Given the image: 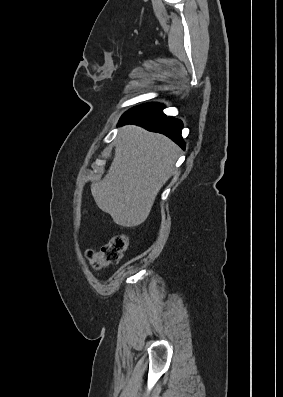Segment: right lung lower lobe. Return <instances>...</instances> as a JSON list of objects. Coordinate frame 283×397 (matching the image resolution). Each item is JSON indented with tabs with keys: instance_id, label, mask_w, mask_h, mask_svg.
<instances>
[{
	"instance_id": "right-lung-lower-lobe-1",
	"label": "right lung lower lobe",
	"mask_w": 283,
	"mask_h": 397,
	"mask_svg": "<svg viewBox=\"0 0 283 397\" xmlns=\"http://www.w3.org/2000/svg\"><path fill=\"white\" fill-rule=\"evenodd\" d=\"M163 109L164 105L160 103L136 106L122 115L118 125L136 124L149 131L162 133L185 149V142L181 137L182 121L171 116L167 117L162 112Z\"/></svg>"
}]
</instances>
